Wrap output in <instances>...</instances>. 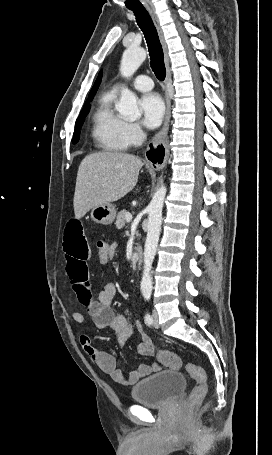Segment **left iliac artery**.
I'll return each mask as SVG.
<instances>
[{"instance_id": "44dca946", "label": "left iliac artery", "mask_w": 272, "mask_h": 455, "mask_svg": "<svg viewBox=\"0 0 272 455\" xmlns=\"http://www.w3.org/2000/svg\"><path fill=\"white\" fill-rule=\"evenodd\" d=\"M144 297H145V299L148 301V300L150 299V294H149V293H148V294L146 293V294H144ZM145 321H146L148 324H152L153 319H152V316H151L149 313L146 314V316H145Z\"/></svg>"}]
</instances>
